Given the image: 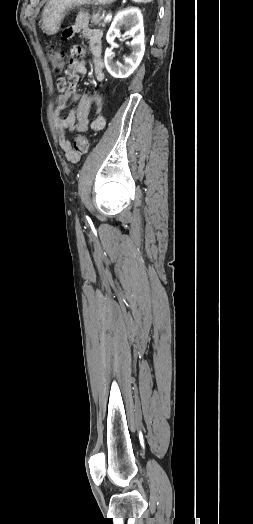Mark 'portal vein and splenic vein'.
I'll use <instances>...</instances> for the list:
<instances>
[{
	"instance_id": "obj_1",
	"label": "portal vein and splenic vein",
	"mask_w": 253,
	"mask_h": 524,
	"mask_svg": "<svg viewBox=\"0 0 253 524\" xmlns=\"http://www.w3.org/2000/svg\"><path fill=\"white\" fill-rule=\"evenodd\" d=\"M111 19H112V14H111V13H108V14L105 16L104 21L107 22V21H109V20H111Z\"/></svg>"
}]
</instances>
